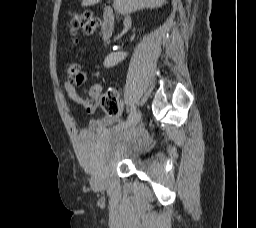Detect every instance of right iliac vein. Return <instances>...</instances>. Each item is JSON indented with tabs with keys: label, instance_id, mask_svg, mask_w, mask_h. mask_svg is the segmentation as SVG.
<instances>
[{
	"label": "right iliac vein",
	"instance_id": "1",
	"mask_svg": "<svg viewBox=\"0 0 256 228\" xmlns=\"http://www.w3.org/2000/svg\"><path fill=\"white\" fill-rule=\"evenodd\" d=\"M140 118H141V114H140V112H137L134 115V117L127 123L126 128H128L130 130L133 129L140 121Z\"/></svg>",
	"mask_w": 256,
	"mask_h": 228
}]
</instances>
